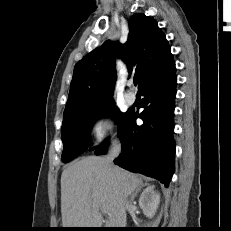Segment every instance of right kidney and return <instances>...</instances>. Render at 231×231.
I'll return each instance as SVG.
<instances>
[{"label":"right kidney","mask_w":231,"mask_h":231,"mask_svg":"<svg viewBox=\"0 0 231 231\" xmlns=\"http://www.w3.org/2000/svg\"><path fill=\"white\" fill-rule=\"evenodd\" d=\"M155 186H148L140 195L139 206L144 214L152 218L155 216L160 204V194L154 190Z\"/></svg>","instance_id":"ca27d5eb"}]
</instances>
